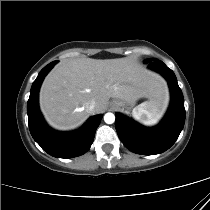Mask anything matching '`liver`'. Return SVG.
Instances as JSON below:
<instances>
[{
	"mask_svg": "<svg viewBox=\"0 0 210 210\" xmlns=\"http://www.w3.org/2000/svg\"><path fill=\"white\" fill-rule=\"evenodd\" d=\"M166 103V82L130 58L65 60L56 65L40 89V108L47 122L60 130L83 124L103 112L110 98L127 103L140 98ZM96 107L89 112L87 104Z\"/></svg>",
	"mask_w": 210,
	"mask_h": 210,
	"instance_id": "1",
	"label": "liver"
}]
</instances>
